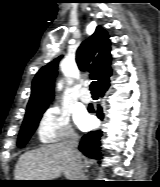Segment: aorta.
<instances>
[{"instance_id":"762f6f07","label":"aorta","mask_w":160,"mask_h":187,"mask_svg":"<svg viewBox=\"0 0 160 187\" xmlns=\"http://www.w3.org/2000/svg\"><path fill=\"white\" fill-rule=\"evenodd\" d=\"M58 88H59V89L62 88V83H59V84H58Z\"/></svg>"}]
</instances>
